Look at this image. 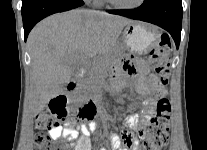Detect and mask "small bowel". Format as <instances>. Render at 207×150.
Segmentation results:
<instances>
[{
	"mask_svg": "<svg viewBox=\"0 0 207 150\" xmlns=\"http://www.w3.org/2000/svg\"><path fill=\"white\" fill-rule=\"evenodd\" d=\"M148 65L146 62H140L138 69L134 67H128L126 72L129 76H136L138 70L141 72H146ZM125 82L121 76H117L114 79L112 93H116L124 86ZM136 91L140 95L146 96L150 93L153 94L154 98H161L165 95L164 85L153 76L142 77L138 79L136 83ZM153 104V100L150 102ZM150 114L149 111L144 113L145 118ZM125 126L129 129L137 131L139 134L144 132V123L141 121L138 114H131L125 119ZM97 123L92 121L88 124H79L75 119H72L66 126H59L49 132V135L54 138H65L70 142V148L72 150H90V133L95 130ZM131 133V132H130ZM108 140L110 146L113 150L120 147L121 142L125 143V134L120 138L113 132L108 133ZM132 146L137 144V139L135 137L131 140ZM105 150V149H101ZM126 150V149H124Z\"/></svg>",
	"mask_w": 207,
	"mask_h": 150,
	"instance_id": "obj_1",
	"label": "small bowel"
}]
</instances>
